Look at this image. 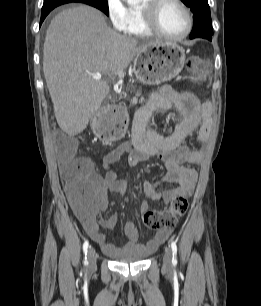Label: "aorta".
Masks as SVG:
<instances>
[{"label": "aorta", "instance_id": "762f6f07", "mask_svg": "<svg viewBox=\"0 0 261 306\" xmlns=\"http://www.w3.org/2000/svg\"><path fill=\"white\" fill-rule=\"evenodd\" d=\"M126 2L128 3V4H136V3H138L139 2V0H126Z\"/></svg>", "mask_w": 261, "mask_h": 306}]
</instances>
